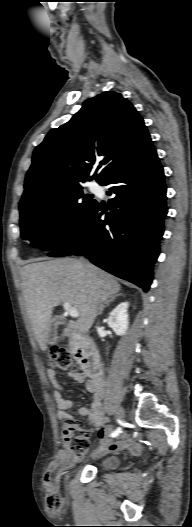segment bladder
Listing matches in <instances>:
<instances>
[{
  "mask_svg": "<svg viewBox=\"0 0 192 527\" xmlns=\"http://www.w3.org/2000/svg\"><path fill=\"white\" fill-rule=\"evenodd\" d=\"M119 459L114 455H108L101 458L98 462V467L102 470H111L118 466Z\"/></svg>",
  "mask_w": 192,
  "mask_h": 527,
  "instance_id": "1",
  "label": "bladder"
}]
</instances>
